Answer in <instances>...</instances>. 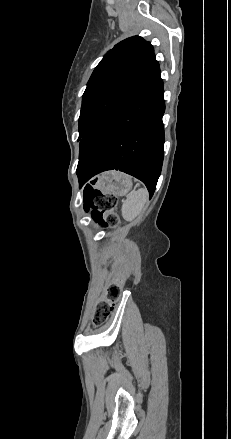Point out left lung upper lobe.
I'll use <instances>...</instances> for the list:
<instances>
[{
	"label": "left lung upper lobe",
	"mask_w": 231,
	"mask_h": 439,
	"mask_svg": "<svg viewBox=\"0 0 231 439\" xmlns=\"http://www.w3.org/2000/svg\"><path fill=\"white\" fill-rule=\"evenodd\" d=\"M158 68L153 46L139 36L127 38L108 51L94 69L82 96L78 140Z\"/></svg>",
	"instance_id": "obj_1"
}]
</instances>
